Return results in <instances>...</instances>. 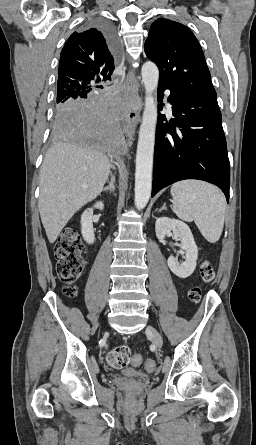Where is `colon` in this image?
Here are the masks:
<instances>
[{"label": "colon", "instance_id": "obj_1", "mask_svg": "<svg viewBox=\"0 0 256 445\" xmlns=\"http://www.w3.org/2000/svg\"><path fill=\"white\" fill-rule=\"evenodd\" d=\"M85 245L80 237L79 232L75 228L65 229L56 243L55 257L57 260V272L62 281L67 285L63 292L65 296L72 298L76 295V288L73 282L76 281L84 268L83 252ZM215 277L214 268L204 262L200 269V278L204 283L211 282ZM189 300L197 303L201 299V290L199 287H193L188 294ZM140 365L142 356L140 354H132L130 348L126 345H119L110 350L107 354V363L115 369H123L129 363ZM147 370L152 371L155 368L153 360L149 359L145 363Z\"/></svg>", "mask_w": 256, "mask_h": 445}]
</instances>
